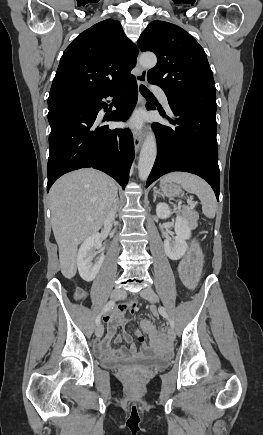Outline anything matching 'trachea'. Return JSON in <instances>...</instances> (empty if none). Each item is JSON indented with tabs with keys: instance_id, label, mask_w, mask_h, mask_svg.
Here are the masks:
<instances>
[{
	"instance_id": "obj_1",
	"label": "trachea",
	"mask_w": 263,
	"mask_h": 435,
	"mask_svg": "<svg viewBox=\"0 0 263 435\" xmlns=\"http://www.w3.org/2000/svg\"><path fill=\"white\" fill-rule=\"evenodd\" d=\"M140 92L145 97H154L153 94L144 85H140Z\"/></svg>"
}]
</instances>
